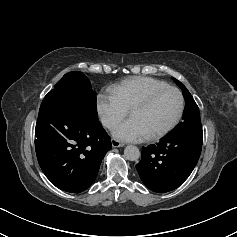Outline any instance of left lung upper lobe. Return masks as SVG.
Masks as SVG:
<instances>
[{
  "label": "left lung upper lobe",
  "instance_id": "5c2ea615",
  "mask_svg": "<svg viewBox=\"0 0 237 237\" xmlns=\"http://www.w3.org/2000/svg\"><path fill=\"white\" fill-rule=\"evenodd\" d=\"M176 84L182 89L185 98V109L183 121L178 124L168 136H178L186 133H202V126L199 116V109L187 88L177 79L173 78Z\"/></svg>",
  "mask_w": 237,
  "mask_h": 237
}]
</instances>
